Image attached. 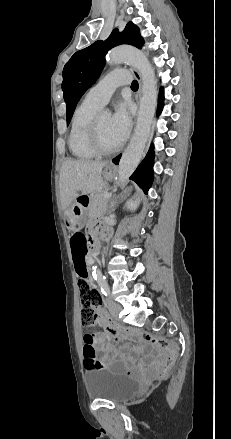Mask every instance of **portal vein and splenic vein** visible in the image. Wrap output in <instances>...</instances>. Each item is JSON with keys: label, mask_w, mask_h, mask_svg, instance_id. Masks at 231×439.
<instances>
[{"label": "portal vein and splenic vein", "mask_w": 231, "mask_h": 439, "mask_svg": "<svg viewBox=\"0 0 231 439\" xmlns=\"http://www.w3.org/2000/svg\"><path fill=\"white\" fill-rule=\"evenodd\" d=\"M109 197H111V194H105L104 195V198H109Z\"/></svg>", "instance_id": "18ae733b"}]
</instances>
